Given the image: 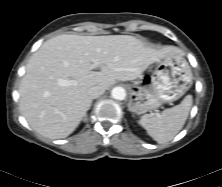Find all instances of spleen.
Instances as JSON below:
<instances>
[{"label":"spleen","instance_id":"spleen-1","mask_svg":"<svg viewBox=\"0 0 222 187\" xmlns=\"http://www.w3.org/2000/svg\"><path fill=\"white\" fill-rule=\"evenodd\" d=\"M191 106L192 96L187 95L179 105L165 109L159 115H143L140 124L157 143H167L184 126Z\"/></svg>","mask_w":222,"mask_h":187}]
</instances>
